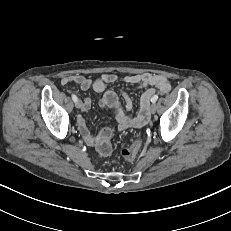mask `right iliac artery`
I'll use <instances>...</instances> for the list:
<instances>
[{
    "mask_svg": "<svg viewBox=\"0 0 231 231\" xmlns=\"http://www.w3.org/2000/svg\"><path fill=\"white\" fill-rule=\"evenodd\" d=\"M72 99L74 102H76L78 100L77 96L75 94H72Z\"/></svg>",
    "mask_w": 231,
    "mask_h": 231,
    "instance_id": "1",
    "label": "right iliac artery"
}]
</instances>
